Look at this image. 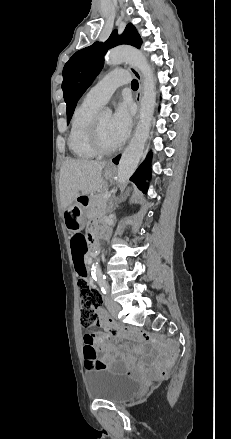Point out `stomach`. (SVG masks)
<instances>
[{
	"mask_svg": "<svg viewBox=\"0 0 231 439\" xmlns=\"http://www.w3.org/2000/svg\"><path fill=\"white\" fill-rule=\"evenodd\" d=\"M114 168L106 166L104 169V176L110 178L113 176ZM91 197L81 195L75 199V201L64 210V223L67 230L71 233H75L83 226L82 217L79 214H83L86 209L87 201Z\"/></svg>",
	"mask_w": 231,
	"mask_h": 439,
	"instance_id": "1",
	"label": "stomach"
}]
</instances>
